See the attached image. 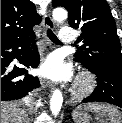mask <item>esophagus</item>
Masks as SVG:
<instances>
[{
  "label": "esophagus",
  "instance_id": "1",
  "mask_svg": "<svg viewBox=\"0 0 122 123\" xmlns=\"http://www.w3.org/2000/svg\"><path fill=\"white\" fill-rule=\"evenodd\" d=\"M43 26L45 29H53L55 27V24H54V21L53 19L51 18L50 14L47 13L44 18H43ZM42 85L44 88H49L51 90L54 89V85L52 82L48 81V80H45L43 79L41 81Z\"/></svg>",
  "mask_w": 122,
  "mask_h": 123
}]
</instances>
